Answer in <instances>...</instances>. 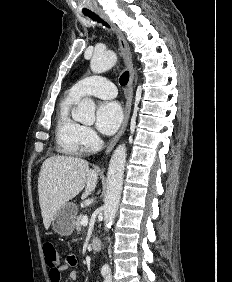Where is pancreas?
Wrapping results in <instances>:
<instances>
[{
    "mask_svg": "<svg viewBox=\"0 0 232 282\" xmlns=\"http://www.w3.org/2000/svg\"><path fill=\"white\" fill-rule=\"evenodd\" d=\"M84 216H85V215L81 213V214H79V215L76 217L75 228H76V231H77V232H80V231H81V228H82L81 219H82Z\"/></svg>",
    "mask_w": 232,
    "mask_h": 282,
    "instance_id": "1",
    "label": "pancreas"
}]
</instances>
